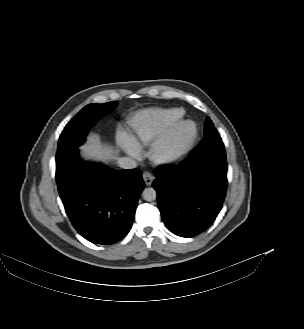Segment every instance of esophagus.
<instances>
[{
  "label": "esophagus",
  "instance_id": "34e87169",
  "mask_svg": "<svg viewBox=\"0 0 304 329\" xmlns=\"http://www.w3.org/2000/svg\"><path fill=\"white\" fill-rule=\"evenodd\" d=\"M143 180L147 186H150L153 183L154 176L149 172H145L143 173Z\"/></svg>",
  "mask_w": 304,
  "mask_h": 329
}]
</instances>
